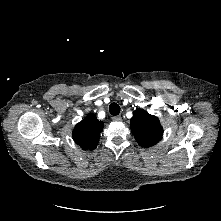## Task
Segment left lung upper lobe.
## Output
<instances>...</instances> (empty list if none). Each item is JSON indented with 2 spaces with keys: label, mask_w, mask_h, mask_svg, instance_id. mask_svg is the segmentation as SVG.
I'll return each instance as SVG.
<instances>
[{
  "label": "left lung upper lobe",
  "mask_w": 221,
  "mask_h": 221,
  "mask_svg": "<svg viewBox=\"0 0 221 221\" xmlns=\"http://www.w3.org/2000/svg\"><path fill=\"white\" fill-rule=\"evenodd\" d=\"M131 130L137 143L142 147L157 144L163 135L159 119L143 109H136L130 121Z\"/></svg>",
  "instance_id": "obj_1"
}]
</instances>
